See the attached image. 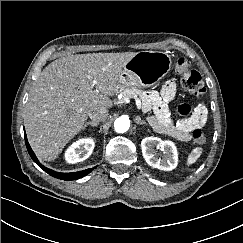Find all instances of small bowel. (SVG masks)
<instances>
[{
	"label": "small bowel",
	"instance_id": "obj_1",
	"mask_svg": "<svg viewBox=\"0 0 243 243\" xmlns=\"http://www.w3.org/2000/svg\"><path fill=\"white\" fill-rule=\"evenodd\" d=\"M175 94V81H168L159 93L150 92L146 95V104L152 107L155 112L151 122L158 132L181 141H189L191 140V131L204 125L207 118V108L204 104H199L195 107L191 117L174 123L167 103L174 98Z\"/></svg>",
	"mask_w": 243,
	"mask_h": 243
}]
</instances>
